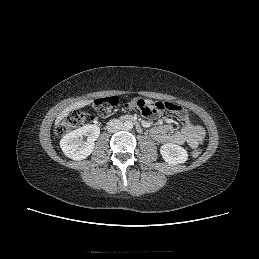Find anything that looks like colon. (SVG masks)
Wrapping results in <instances>:
<instances>
[{"mask_svg":"<svg viewBox=\"0 0 259 259\" xmlns=\"http://www.w3.org/2000/svg\"><path fill=\"white\" fill-rule=\"evenodd\" d=\"M119 99L115 96L97 99L93 103V108L96 113L101 117L109 116L118 105ZM127 108H137L142 115L150 117L161 115L165 111H172L176 109V105L164 101H151L142 97H137L126 104ZM94 118L81 111H73L69 113L58 125L57 134L64 135L79 127L90 125L93 123ZM201 155L200 149L192 151V157L198 158Z\"/></svg>","mask_w":259,"mask_h":259,"instance_id":"colon-1","label":"colon"}]
</instances>
